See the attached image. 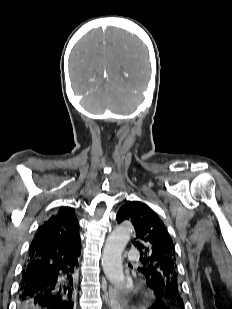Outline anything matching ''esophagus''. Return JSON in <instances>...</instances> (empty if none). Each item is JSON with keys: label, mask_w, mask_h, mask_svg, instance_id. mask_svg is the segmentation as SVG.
Here are the masks:
<instances>
[{"label": "esophagus", "mask_w": 232, "mask_h": 309, "mask_svg": "<svg viewBox=\"0 0 232 309\" xmlns=\"http://www.w3.org/2000/svg\"><path fill=\"white\" fill-rule=\"evenodd\" d=\"M106 302L111 309H123L117 291L111 286L107 290Z\"/></svg>", "instance_id": "34e87169"}]
</instances>
